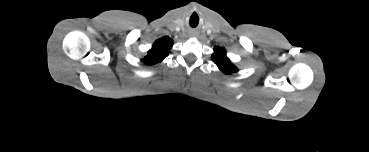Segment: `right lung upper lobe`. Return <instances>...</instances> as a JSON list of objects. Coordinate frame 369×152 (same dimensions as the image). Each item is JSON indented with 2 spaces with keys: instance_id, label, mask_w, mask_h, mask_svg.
<instances>
[{
  "instance_id": "right-lung-upper-lobe-1",
  "label": "right lung upper lobe",
  "mask_w": 369,
  "mask_h": 152,
  "mask_svg": "<svg viewBox=\"0 0 369 152\" xmlns=\"http://www.w3.org/2000/svg\"><path fill=\"white\" fill-rule=\"evenodd\" d=\"M173 42L169 37H163L157 40L148 55L141 61L147 65L155 64L162 61L168 56V50L172 47Z\"/></svg>"
}]
</instances>
